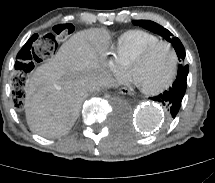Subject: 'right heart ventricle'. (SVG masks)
Here are the masks:
<instances>
[{
    "mask_svg": "<svg viewBox=\"0 0 215 183\" xmlns=\"http://www.w3.org/2000/svg\"><path fill=\"white\" fill-rule=\"evenodd\" d=\"M160 40L157 35L142 29L129 30L119 36L114 47V56L123 66L129 67L144 48Z\"/></svg>",
    "mask_w": 215,
    "mask_h": 183,
    "instance_id": "right-heart-ventricle-1",
    "label": "right heart ventricle"
}]
</instances>
